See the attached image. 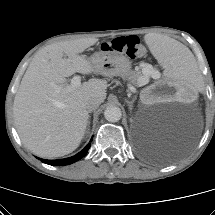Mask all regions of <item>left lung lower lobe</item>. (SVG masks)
I'll return each mask as SVG.
<instances>
[{"instance_id": "0a47b994", "label": "left lung lower lobe", "mask_w": 215, "mask_h": 215, "mask_svg": "<svg viewBox=\"0 0 215 215\" xmlns=\"http://www.w3.org/2000/svg\"><path fill=\"white\" fill-rule=\"evenodd\" d=\"M148 155L151 156H158L162 152V148H156V149H145Z\"/></svg>"}]
</instances>
